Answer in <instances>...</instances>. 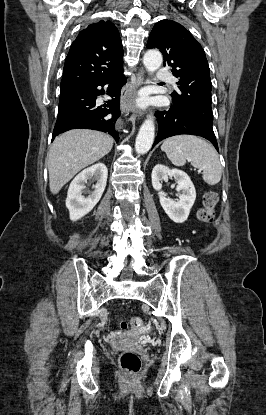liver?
I'll return each instance as SVG.
<instances>
[{
    "label": "liver",
    "instance_id": "6515ba94",
    "mask_svg": "<svg viewBox=\"0 0 266 415\" xmlns=\"http://www.w3.org/2000/svg\"><path fill=\"white\" fill-rule=\"evenodd\" d=\"M113 142L111 136L88 129H75L58 136L47 155L51 193L57 194L80 170L107 155Z\"/></svg>",
    "mask_w": 266,
    "mask_h": 415
}]
</instances>
